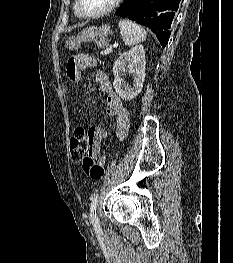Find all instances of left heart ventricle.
<instances>
[{
  "label": "left heart ventricle",
  "instance_id": "obj_1",
  "mask_svg": "<svg viewBox=\"0 0 233 263\" xmlns=\"http://www.w3.org/2000/svg\"><path fill=\"white\" fill-rule=\"evenodd\" d=\"M113 0H81L82 10L88 14L97 13L107 8Z\"/></svg>",
  "mask_w": 233,
  "mask_h": 263
}]
</instances>
